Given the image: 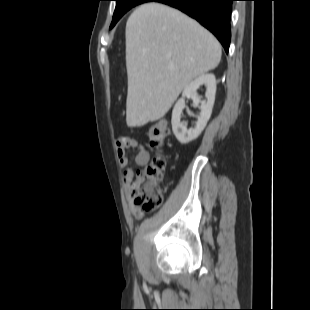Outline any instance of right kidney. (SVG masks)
<instances>
[{"label": "right kidney", "mask_w": 310, "mask_h": 310, "mask_svg": "<svg viewBox=\"0 0 310 310\" xmlns=\"http://www.w3.org/2000/svg\"><path fill=\"white\" fill-rule=\"evenodd\" d=\"M206 86V101H202L197 93L200 86ZM216 79L212 73H206L198 76L191 81L183 90L182 97L176 102L172 111V131L181 144H187L195 140L204 130L208 120L210 119L212 108L215 101ZM191 98L201 110L197 123L194 128L187 129L180 121L181 114L185 108V99Z\"/></svg>", "instance_id": "1"}]
</instances>
